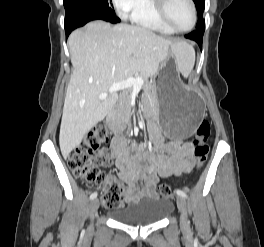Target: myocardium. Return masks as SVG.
<instances>
[{"instance_id":"myocardium-1","label":"myocardium","mask_w":264,"mask_h":247,"mask_svg":"<svg viewBox=\"0 0 264 247\" xmlns=\"http://www.w3.org/2000/svg\"><path fill=\"white\" fill-rule=\"evenodd\" d=\"M153 1H154V8L158 17L162 20L164 24H166L174 32H186L191 30L195 26L197 21V10L193 0H187L191 6V11H192V22L187 28H178L170 21L167 15L168 0H153Z\"/></svg>"}]
</instances>
